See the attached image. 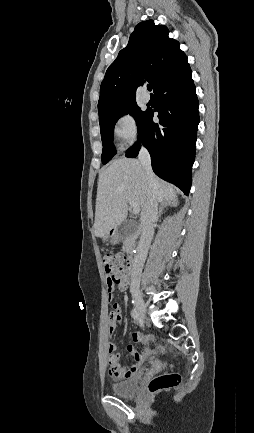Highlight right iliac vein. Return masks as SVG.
I'll list each match as a JSON object with an SVG mask.
<instances>
[{
	"instance_id": "right-iliac-vein-1",
	"label": "right iliac vein",
	"mask_w": 254,
	"mask_h": 433,
	"mask_svg": "<svg viewBox=\"0 0 254 433\" xmlns=\"http://www.w3.org/2000/svg\"><path fill=\"white\" fill-rule=\"evenodd\" d=\"M133 299H134L135 309H136L138 315L140 316V318L143 319L145 317V313H146V306H145L144 300L139 294H134Z\"/></svg>"
}]
</instances>
